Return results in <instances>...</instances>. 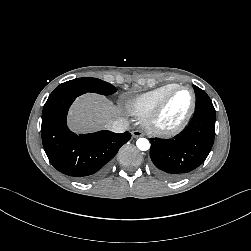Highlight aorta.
I'll list each match as a JSON object with an SVG mask.
<instances>
[{"mask_svg": "<svg viewBox=\"0 0 251 251\" xmlns=\"http://www.w3.org/2000/svg\"><path fill=\"white\" fill-rule=\"evenodd\" d=\"M136 145L141 151H147L150 148V143L146 138H139Z\"/></svg>", "mask_w": 251, "mask_h": 251, "instance_id": "aorta-1", "label": "aorta"}]
</instances>
